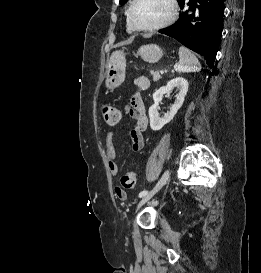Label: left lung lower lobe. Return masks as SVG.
Wrapping results in <instances>:
<instances>
[{"label":"left lung lower lobe","mask_w":261,"mask_h":273,"mask_svg":"<svg viewBox=\"0 0 261 273\" xmlns=\"http://www.w3.org/2000/svg\"><path fill=\"white\" fill-rule=\"evenodd\" d=\"M184 10L178 21L159 32L175 38L189 49L201 54L213 67L222 32L223 0H179Z\"/></svg>","instance_id":"0a47b994"}]
</instances>
